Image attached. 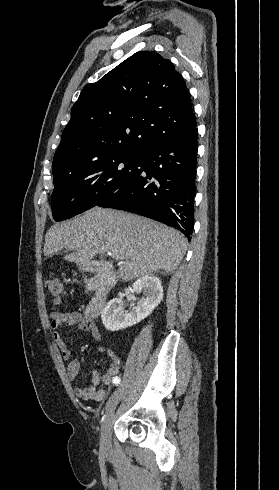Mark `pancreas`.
Wrapping results in <instances>:
<instances>
[{
    "instance_id": "cf45deb5",
    "label": "pancreas",
    "mask_w": 279,
    "mask_h": 490,
    "mask_svg": "<svg viewBox=\"0 0 279 490\" xmlns=\"http://www.w3.org/2000/svg\"><path fill=\"white\" fill-rule=\"evenodd\" d=\"M90 280H88L87 284H89ZM90 284H93V282H90ZM88 288H90V286H86V290L85 292H90V290H88Z\"/></svg>"
}]
</instances>
